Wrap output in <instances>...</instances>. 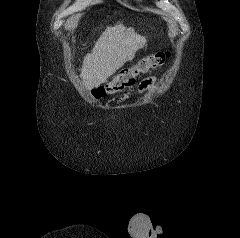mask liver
I'll return each instance as SVG.
<instances>
[{
    "label": "liver",
    "instance_id": "1",
    "mask_svg": "<svg viewBox=\"0 0 240 238\" xmlns=\"http://www.w3.org/2000/svg\"><path fill=\"white\" fill-rule=\"evenodd\" d=\"M146 45V38L122 24L108 27L83 60L80 77L88 90L106 83L107 79L132 60Z\"/></svg>",
    "mask_w": 240,
    "mask_h": 238
}]
</instances>
